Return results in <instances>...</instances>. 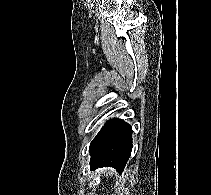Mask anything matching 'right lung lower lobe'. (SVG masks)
Instances as JSON below:
<instances>
[{
    "mask_svg": "<svg viewBox=\"0 0 211 195\" xmlns=\"http://www.w3.org/2000/svg\"><path fill=\"white\" fill-rule=\"evenodd\" d=\"M132 150V128L121 119H113L90 144V167H113L123 172Z\"/></svg>",
    "mask_w": 211,
    "mask_h": 195,
    "instance_id": "obj_1",
    "label": "right lung lower lobe"
}]
</instances>
